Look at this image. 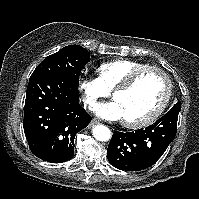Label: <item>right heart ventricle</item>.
Masks as SVG:
<instances>
[{"label":"right heart ventricle","instance_id":"obj_1","mask_svg":"<svg viewBox=\"0 0 199 199\" xmlns=\"http://www.w3.org/2000/svg\"><path fill=\"white\" fill-rule=\"evenodd\" d=\"M146 66L148 65L134 60L115 59L98 67V79L107 91H111L124 82L131 73Z\"/></svg>","mask_w":199,"mask_h":199}]
</instances>
